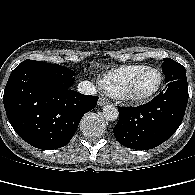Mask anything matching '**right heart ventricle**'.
<instances>
[{"label": "right heart ventricle", "instance_id": "obj_1", "mask_svg": "<svg viewBox=\"0 0 195 195\" xmlns=\"http://www.w3.org/2000/svg\"><path fill=\"white\" fill-rule=\"evenodd\" d=\"M143 67L145 66L129 65L111 70L103 76L101 86L109 94L118 96L125 89L129 79Z\"/></svg>", "mask_w": 195, "mask_h": 195}]
</instances>
